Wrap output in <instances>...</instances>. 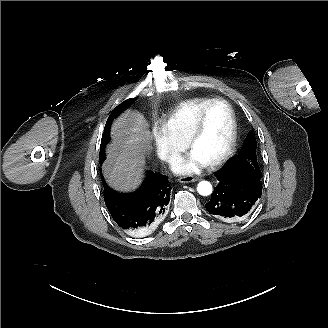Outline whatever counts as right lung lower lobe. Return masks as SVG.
Returning a JSON list of instances; mask_svg holds the SVG:
<instances>
[{"instance_id":"obj_1","label":"right lung lower lobe","mask_w":328,"mask_h":328,"mask_svg":"<svg viewBox=\"0 0 328 328\" xmlns=\"http://www.w3.org/2000/svg\"><path fill=\"white\" fill-rule=\"evenodd\" d=\"M168 177L148 172L138 191L124 195L110 189L104 182L105 204L117 225L124 230L148 228L165 212L170 201Z\"/></svg>"}]
</instances>
